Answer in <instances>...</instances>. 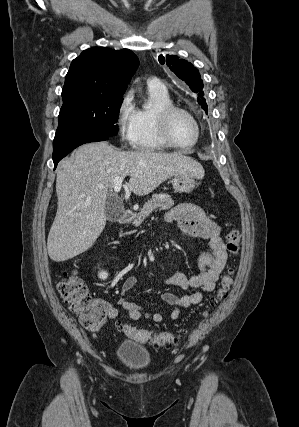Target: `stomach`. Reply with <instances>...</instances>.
<instances>
[{
	"instance_id": "0dacf381",
	"label": "stomach",
	"mask_w": 299,
	"mask_h": 427,
	"mask_svg": "<svg viewBox=\"0 0 299 427\" xmlns=\"http://www.w3.org/2000/svg\"><path fill=\"white\" fill-rule=\"evenodd\" d=\"M194 176L190 174H177L173 176L172 186L176 192L190 193L194 190L196 181Z\"/></svg>"
}]
</instances>
